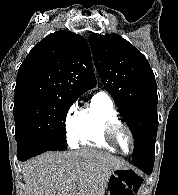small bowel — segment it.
<instances>
[{
  "label": "small bowel",
  "instance_id": "c3829d8e",
  "mask_svg": "<svg viewBox=\"0 0 178 195\" xmlns=\"http://www.w3.org/2000/svg\"><path fill=\"white\" fill-rule=\"evenodd\" d=\"M118 193H119L118 195H133L132 193L127 192V191L124 190V189H121Z\"/></svg>",
  "mask_w": 178,
  "mask_h": 195
}]
</instances>
